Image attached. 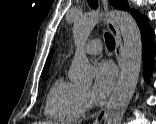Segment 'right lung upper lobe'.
Listing matches in <instances>:
<instances>
[{
    "mask_svg": "<svg viewBox=\"0 0 156 124\" xmlns=\"http://www.w3.org/2000/svg\"><path fill=\"white\" fill-rule=\"evenodd\" d=\"M52 52H53V50L51 51V53H50V55H49V57H48V59H47V62H46L45 67H44V69H43L42 75H44V73H46V71H47L48 68H49V64H50V59H51V56H52Z\"/></svg>",
    "mask_w": 156,
    "mask_h": 124,
    "instance_id": "obj_1",
    "label": "right lung upper lobe"
}]
</instances>
